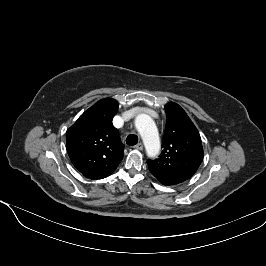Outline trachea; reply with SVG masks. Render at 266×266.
<instances>
[{"instance_id":"3493384b","label":"trachea","mask_w":266,"mask_h":266,"mask_svg":"<svg viewBox=\"0 0 266 266\" xmlns=\"http://www.w3.org/2000/svg\"><path fill=\"white\" fill-rule=\"evenodd\" d=\"M126 143L129 146L136 145L138 143V136L134 134L128 135L126 138Z\"/></svg>"}]
</instances>
